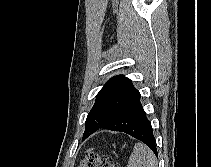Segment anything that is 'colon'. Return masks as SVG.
Masks as SVG:
<instances>
[{"mask_svg":"<svg viewBox=\"0 0 211 167\" xmlns=\"http://www.w3.org/2000/svg\"><path fill=\"white\" fill-rule=\"evenodd\" d=\"M78 167H117L113 160L106 156L88 153Z\"/></svg>","mask_w":211,"mask_h":167,"instance_id":"obj_1","label":"colon"}]
</instances>
